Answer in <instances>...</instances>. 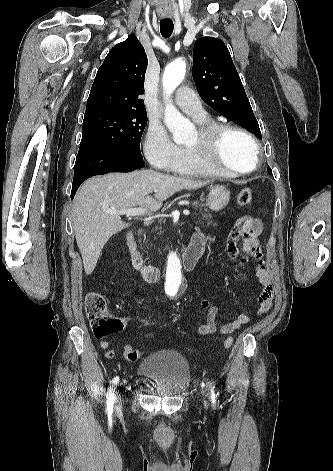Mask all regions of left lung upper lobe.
<instances>
[{
	"mask_svg": "<svg viewBox=\"0 0 333 471\" xmlns=\"http://www.w3.org/2000/svg\"><path fill=\"white\" fill-rule=\"evenodd\" d=\"M193 78L199 95L209 106L261 138L229 50L220 39L203 37L195 42ZM267 171L272 174L270 167Z\"/></svg>",
	"mask_w": 333,
	"mask_h": 471,
	"instance_id": "obj_1",
	"label": "left lung upper lobe"
}]
</instances>
